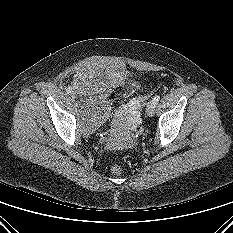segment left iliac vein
Listing matches in <instances>:
<instances>
[{
  "label": "left iliac vein",
  "instance_id": "1",
  "mask_svg": "<svg viewBox=\"0 0 233 233\" xmlns=\"http://www.w3.org/2000/svg\"><path fill=\"white\" fill-rule=\"evenodd\" d=\"M155 113V105L153 104L152 101H150L147 105V108H146V114L150 117H152Z\"/></svg>",
  "mask_w": 233,
  "mask_h": 233
}]
</instances>
